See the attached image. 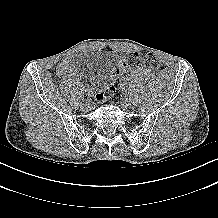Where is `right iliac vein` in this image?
I'll use <instances>...</instances> for the list:
<instances>
[{
  "label": "right iliac vein",
  "mask_w": 218,
  "mask_h": 218,
  "mask_svg": "<svg viewBox=\"0 0 218 218\" xmlns=\"http://www.w3.org/2000/svg\"><path fill=\"white\" fill-rule=\"evenodd\" d=\"M82 102H83V104H82V109L83 110L87 111V110H89L91 108V103L87 102L86 98H83Z\"/></svg>",
  "instance_id": "63e3f726"
}]
</instances>
